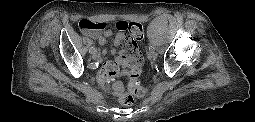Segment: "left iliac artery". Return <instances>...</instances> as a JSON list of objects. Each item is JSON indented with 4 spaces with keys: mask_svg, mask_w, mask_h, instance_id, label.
<instances>
[{
    "mask_svg": "<svg viewBox=\"0 0 255 122\" xmlns=\"http://www.w3.org/2000/svg\"><path fill=\"white\" fill-rule=\"evenodd\" d=\"M148 49H149V51H155V47L152 46V45H150V46L148 47Z\"/></svg>",
    "mask_w": 255,
    "mask_h": 122,
    "instance_id": "1",
    "label": "left iliac artery"
}]
</instances>
